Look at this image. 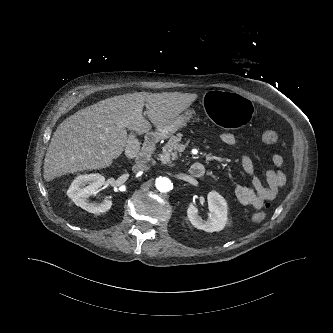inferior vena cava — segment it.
Returning a JSON list of instances; mask_svg holds the SVG:
<instances>
[{
	"label": "inferior vena cava",
	"mask_w": 333,
	"mask_h": 333,
	"mask_svg": "<svg viewBox=\"0 0 333 333\" xmlns=\"http://www.w3.org/2000/svg\"><path fill=\"white\" fill-rule=\"evenodd\" d=\"M149 167L146 164L143 163H136L133 167H132V171L134 173H138V172H142V171H146L148 170Z\"/></svg>",
	"instance_id": "obj_1"
}]
</instances>
